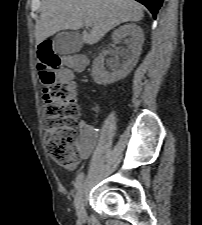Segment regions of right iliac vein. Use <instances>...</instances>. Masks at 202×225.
<instances>
[{"instance_id":"right-iliac-vein-1","label":"right iliac vein","mask_w":202,"mask_h":225,"mask_svg":"<svg viewBox=\"0 0 202 225\" xmlns=\"http://www.w3.org/2000/svg\"><path fill=\"white\" fill-rule=\"evenodd\" d=\"M84 193H85V183H82L77 189V193L75 196L76 213L78 217L81 219H84L86 217Z\"/></svg>"}]
</instances>
